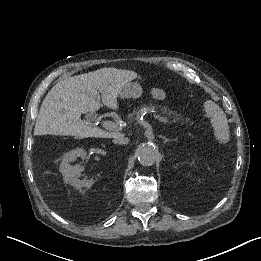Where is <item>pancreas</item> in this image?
<instances>
[{
    "label": "pancreas",
    "instance_id": "pancreas-1",
    "mask_svg": "<svg viewBox=\"0 0 261 261\" xmlns=\"http://www.w3.org/2000/svg\"><path fill=\"white\" fill-rule=\"evenodd\" d=\"M143 110H154L155 112H159L161 115L171 118L179 125H185L187 128H190V130H195V125H193V122L189 120L188 117L180 115L177 111H174L170 107H166L163 103L153 104L142 102L140 105L132 107L128 111L127 122L132 124L135 120V114H138V112Z\"/></svg>",
    "mask_w": 261,
    "mask_h": 261
}]
</instances>
